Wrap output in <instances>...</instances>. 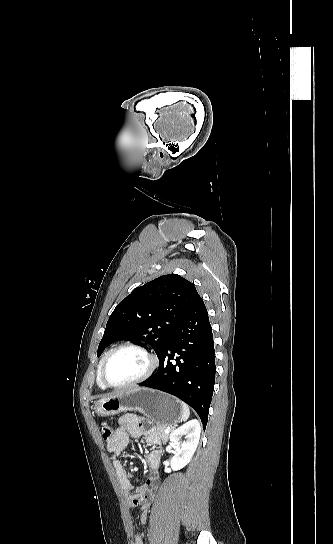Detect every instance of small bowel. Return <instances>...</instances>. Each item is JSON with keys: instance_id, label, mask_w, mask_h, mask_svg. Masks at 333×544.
<instances>
[{"instance_id": "1", "label": "small bowel", "mask_w": 333, "mask_h": 544, "mask_svg": "<svg viewBox=\"0 0 333 544\" xmlns=\"http://www.w3.org/2000/svg\"><path fill=\"white\" fill-rule=\"evenodd\" d=\"M146 423L148 422L139 416L124 415L119 419V427L113 433L111 440L107 442V449L111 454V460L121 489L127 499V504L129 507H140V521L142 523H145L147 520L151 502L160 486V452L152 450L146 455L149 476L146 483L136 490L133 489L131 483V474L124 468L119 457L129 443L130 436H143L148 444L158 445L159 440L155 431L148 429ZM134 544H143L142 534L134 536Z\"/></svg>"}]
</instances>
